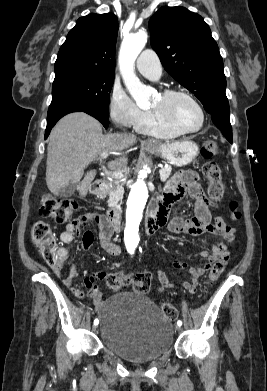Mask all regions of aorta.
I'll list each match as a JSON object with an SVG mask.
<instances>
[{"instance_id": "1", "label": "aorta", "mask_w": 267, "mask_h": 391, "mask_svg": "<svg viewBox=\"0 0 267 391\" xmlns=\"http://www.w3.org/2000/svg\"><path fill=\"white\" fill-rule=\"evenodd\" d=\"M147 37V32L144 29L124 36L119 52V65L125 86L138 106L145 105L150 97L149 88L141 83L134 74V63L145 47ZM146 177L147 172L141 170L137 181L131 187L127 200L125 242L131 251H134L139 242V227L148 198Z\"/></svg>"}]
</instances>
